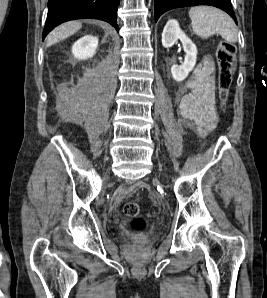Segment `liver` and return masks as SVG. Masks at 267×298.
<instances>
[{
    "instance_id": "liver-1",
    "label": "liver",
    "mask_w": 267,
    "mask_h": 298,
    "mask_svg": "<svg viewBox=\"0 0 267 298\" xmlns=\"http://www.w3.org/2000/svg\"><path fill=\"white\" fill-rule=\"evenodd\" d=\"M82 27V23L71 21L56 27L47 37V46H51L76 33Z\"/></svg>"
}]
</instances>
